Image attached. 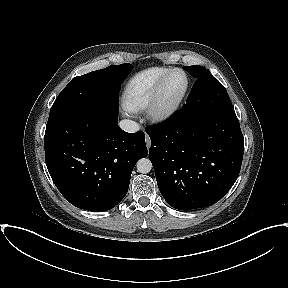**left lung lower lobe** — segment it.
<instances>
[{
  "label": "left lung lower lobe",
  "mask_w": 288,
  "mask_h": 288,
  "mask_svg": "<svg viewBox=\"0 0 288 288\" xmlns=\"http://www.w3.org/2000/svg\"><path fill=\"white\" fill-rule=\"evenodd\" d=\"M146 133L159 190L172 207L211 206L237 180L244 153L237 117L181 108Z\"/></svg>",
  "instance_id": "obj_1"
}]
</instances>
